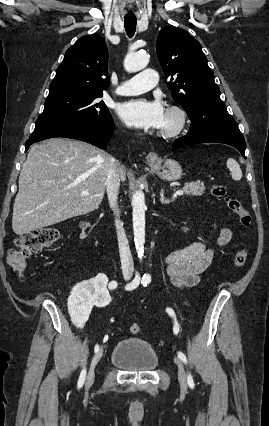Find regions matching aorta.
I'll use <instances>...</instances> for the list:
<instances>
[{"mask_svg": "<svg viewBox=\"0 0 269 426\" xmlns=\"http://www.w3.org/2000/svg\"><path fill=\"white\" fill-rule=\"evenodd\" d=\"M149 63L145 52L129 53L124 60V68L128 72L142 70ZM134 242L139 257L143 255L145 243V196L141 190L136 191L132 198Z\"/></svg>", "mask_w": 269, "mask_h": 426, "instance_id": "obj_1", "label": "aorta"}]
</instances>
